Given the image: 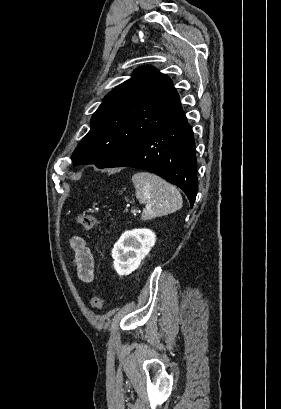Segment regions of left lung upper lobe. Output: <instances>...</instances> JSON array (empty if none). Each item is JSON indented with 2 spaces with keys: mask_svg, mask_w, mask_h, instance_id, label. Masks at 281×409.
I'll return each instance as SVG.
<instances>
[{
  "mask_svg": "<svg viewBox=\"0 0 281 409\" xmlns=\"http://www.w3.org/2000/svg\"><path fill=\"white\" fill-rule=\"evenodd\" d=\"M180 109L170 78L152 66H142L104 98L72 160L102 168Z\"/></svg>",
  "mask_w": 281,
  "mask_h": 409,
  "instance_id": "5c2ea615",
  "label": "left lung upper lobe"
}]
</instances>
